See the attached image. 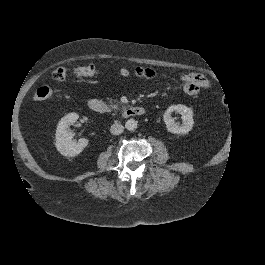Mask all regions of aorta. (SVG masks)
Masks as SVG:
<instances>
[{
    "label": "aorta",
    "instance_id": "1",
    "mask_svg": "<svg viewBox=\"0 0 265 265\" xmlns=\"http://www.w3.org/2000/svg\"><path fill=\"white\" fill-rule=\"evenodd\" d=\"M125 128L129 131H134L137 128V121L129 119L125 122Z\"/></svg>",
    "mask_w": 265,
    "mask_h": 265
}]
</instances>
